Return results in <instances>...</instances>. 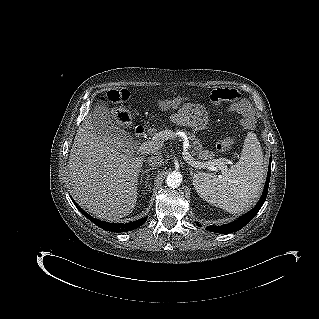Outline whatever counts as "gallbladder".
Segmentation results:
<instances>
[{
	"instance_id": "obj_1",
	"label": "gallbladder",
	"mask_w": 319,
	"mask_h": 319,
	"mask_svg": "<svg viewBox=\"0 0 319 319\" xmlns=\"http://www.w3.org/2000/svg\"><path fill=\"white\" fill-rule=\"evenodd\" d=\"M93 122L98 133L110 140L127 139V133L117 126L110 117L108 109L103 104H96L93 111Z\"/></svg>"
}]
</instances>
